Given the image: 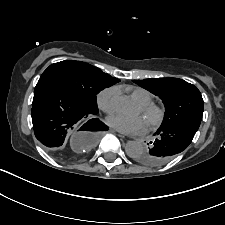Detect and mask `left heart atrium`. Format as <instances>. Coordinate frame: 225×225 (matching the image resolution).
Returning <instances> with one entry per match:
<instances>
[{
	"instance_id": "1",
	"label": "left heart atrium",
	"mask_w": 225,
	"mask_h": 225,
	"mask_svg": "<svg viewBox=\"0 0 225 225\" xmlns=\"http://www.w3.org/2000/svg\"><path fill=\"white\" fill-rule=\"evenodd\" d=\"M108 123L118 131L127 134L142 133L147 128V121L143 116L127 117L116 114L108 118Z\"/></svg>"
}]
</instances>
